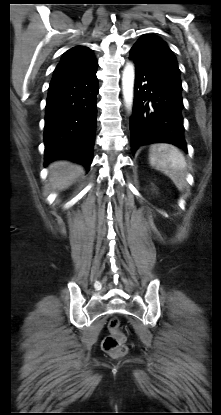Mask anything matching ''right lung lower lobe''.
Wrapping results in <instances>:
<instances>
[{"label": "right lung lower lobe", "mask_w": 221, "mask_h": 415, "mask_svg": "<svg viewBox=\"0 0 221 415\" xmlns=\"http://www.w3.org/2000/svg\"><path fill=\"white\" fill-rule=\"evenodd\" d=\"M96 72L97 66L53 75L46 100L45 164L67 159L90 168L97 118Z\"/></svg>", "instance_id": "98d812e1"}]
</instances>
